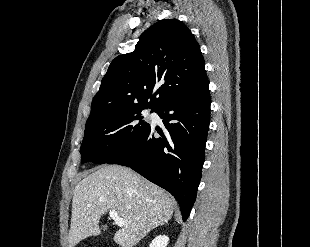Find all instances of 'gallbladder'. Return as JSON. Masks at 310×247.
<instances>
[{
  "label": "gallbladder",
  "instance_id": "obj_1",
  "mask_svg": "<svg viewBox=\"0 0 310 247\" xmlns=\"http://www.w3.org/2000/svg\"><path fill=\"white\" fill-rule=\"evenodd\" d=\"M103 229H104V230H106V229H107V227H106V226H104V227H103Z\"/></svg>",
  "mask_w": 310,
  "mask_h": 247
}]
</instances>
